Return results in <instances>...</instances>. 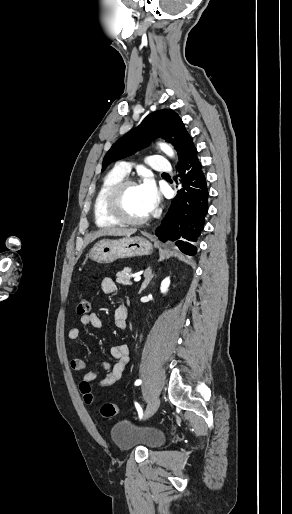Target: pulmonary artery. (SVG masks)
<instances>
[{
	"mask_svg": "<svg viewBox=\"0 0 292 514\" xmlns=\"http://www.w3.org/2000/svg\"><path fill=\"white\" fill-rule=\"evenodd\" d=\"M152 157H146L144 159V164L146 166H151L152 170L154 172H168L170 169V164L168 161H166V158L164 156H155L152 154ZM116 171L122 175L127 176L130 172V169L127 167V164L125 162H120L118 164V167L116 168Z\"/></svg>",
	"mask_w": 292,
	"mask_h": 514,
	"instance_id": "pulmonary-artery-1",
	"label": "pulmonary artery"
}]
</instances>
